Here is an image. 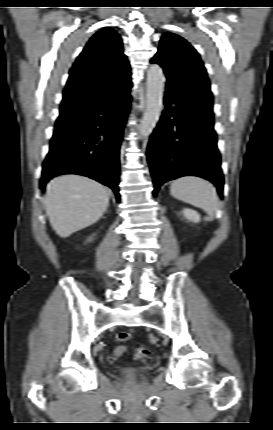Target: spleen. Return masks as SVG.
Listing matches in <instances>:
<instances>
[{
  "instance_id": "spleen-1",
  "label": "spleen",
  "mask_w": 273,
  "mask_h": 430,
  "mask_svg": "<svg viewBox=\"0 0 273 430\" xmlns=\"http://www.w3.org/2000/svg\"><path fill=\"white\" fill-rule=\"evenodd\" d=\"M170 192L174 198L202 208L209 215H214L218 210L219 200L215 187L203 178L180 177L172 182Z\"/></svg>"
}]
</instances>
